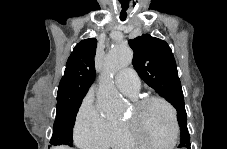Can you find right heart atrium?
<instances>
[{
  "mask_svg": "<svg viewBox=\"0 0 227 149\" xmlns=\"http://www.w3.org/2000/svg\"><path fill=\"white\" fill-rule=\"evenodd\" d=\"M116 132L117 122L104 117L90 98L84 99L75 121L76 143L88 149H103L112 145Z\"/></svg>",
  "mask_w": 227,
  "mask_h": 149,
  "instance_id": "obj_1",
  "label": "right heart atrium"
}]
</instances>
